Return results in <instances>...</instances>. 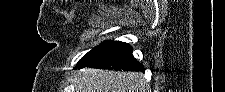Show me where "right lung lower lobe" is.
Wrapping results in <instances>:
<instances>
[{
	"mask_svg": "<svg viewBox=\"0 0 225 92\" xmlns=\"http://www.w3.org/2000/svg\"><path fill=\"white\" fill-rule=\"evenodd\" d=\"M86 67L109 69V70H123V71H142L144 67L140 64L132 54L131 46H127L111 52L101 58L88 64Z\"/></svg>",
	"mask_w": 225,
	"mask_h": 92,
	"instance_id": "98d812e1",
	"label": "right lung lower lobe"
}]
</instances>
